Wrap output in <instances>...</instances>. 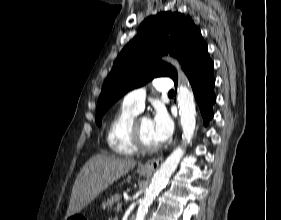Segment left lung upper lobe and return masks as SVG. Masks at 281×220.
Returning a JSON list of instances; mask_svg holds the SVG:
<instances>
[{
	"label": "left lung upper lobe",
	"instance_id": "5c2ea615",
	"mask_svg": "<svg viewBox=\"0 0 281 220\" xmlns=\"http://www.w3.org/2000/svg\"><path fill=\"white\" fill-rule=\"evenodd\" d=\"M207 51L199 29L190 17L178 12H161L149 16L139 32L121 51L106 78L96 109V122L108 108L128 91L144 85L154 77L167 76L177 80L176 70L156 58L168 54L188 64Z\"/></svg>",
	"mask_w": 281,
	"mask_h": 220
}]
</instances>
